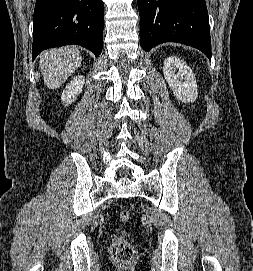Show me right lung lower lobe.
<instances>
[{"label":"right lung lower lobe","instance_id":"1","mask_svg":"<svg viewBox=\"0 0 253 271\" xmlns=\"http://www.w3.org/2000/svg\"><path fill=\"white\" fill-rule=\"evenodd\" d=\"M32 60L45 49L77 44L99 56L103 46L102 0H36Z\"/></svg>","mask_w":253,"mask_h":271}]
</instances>
